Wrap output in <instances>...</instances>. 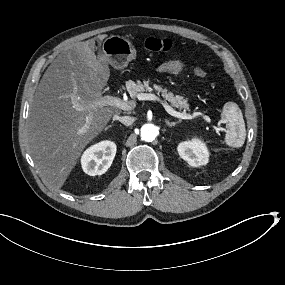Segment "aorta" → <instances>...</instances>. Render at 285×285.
I'll return each mask as SVG.
<instances>
[{"label": "aorta", "mask_w": 285, "mask_h": 285, "mask_svg": "<svg viewBox=\"0 0 285 285\" xmlns=\"http://www.w3.org/2000/svg\"><path fill=\"white\" fill-rule=\"evenodd\" d=\"M158 135V128L153 124H145L141 127L140 137L144 142H152Z\"/></svg>", "instance_id": "aorta-1"}]
</instances>
